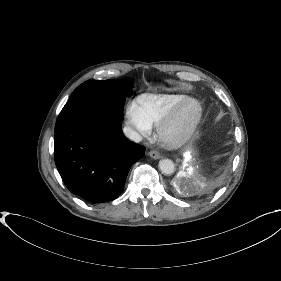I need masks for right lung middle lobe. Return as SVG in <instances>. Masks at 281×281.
<instances>
[{"mask_svg":"<svg viewBox=\"0 0 281 281\" xmlns=\"http://www.w3.org/2000/svg\"><path fill=\"white\" fill-rule=\"evenodd\" d=\"M133 85L124 80L86 81L72 93L59 114L55 130L78 121H122L126 97Z\"/></svg>","mask_w":281,"mask_h":281,"instance_id":"dd1d6c3e","label":"right lung middle lobe"}]
</instances>
